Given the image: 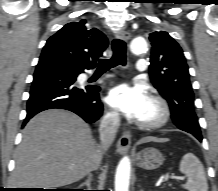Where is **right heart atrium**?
I'll list each match as a JSON object with an SVG mask.
<instances>
[{"mask_svg":"<svg viewBox=\"0 0 218 191\" xmlns=\"http://www.w3.org/2000/svg\"><path fill=\"white\" fill-rule=\"evenodd\" d=\"M106 118L109 122H116L117 119H118V116L115 112H108L107 115H106Z\"/></svg>","mask_w":218,"mask_h":191,"instance_id":"d8ad5b80","label":"right heart atrium"}]
</instances>
